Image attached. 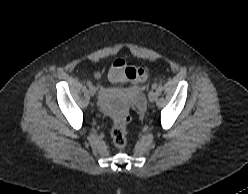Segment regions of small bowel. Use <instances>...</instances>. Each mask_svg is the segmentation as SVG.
<instances>
[{"instance_id": "small-bowel-1", "label": "small bowel", "mask_w": 248, "mask_h": 194, "mask_svg": "<svg viewBox=\"0 0 248 194\" xmlns=\"http://www.w3.org/2000/svg\"><path fill=\"white\" fill-rule=\"evenodd\" d=\"M94 77L99 79L101 75L95 73ZM108 79L117 84L130 82L134 87H137L146 81L147 73L141 68L128 67L123 59H117L108 72ZM102 92L105 94L106 90L103 89Z\"/></svg>"}]
</instances>
